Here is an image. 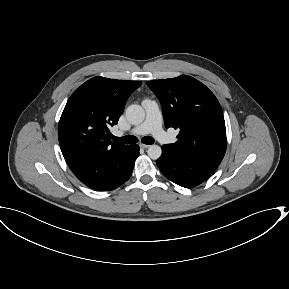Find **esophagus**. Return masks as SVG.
Here are the masks:
<instances>
[{"instance_id": "esophagus-1", "label": "esophagus", "mask_w": 289, "mask_h": 289, "mask_svg": "<svg viewBox=\"0 0 289 289\" xmlns=\"http://www.w3.org/2000/svg\"><path fill=\"white\" fill-rule=\"evenodd\" d=\"M140 147L143 148V149H147L150 147V145L148 144H140Z\"/></svg>"}]
</instances>
